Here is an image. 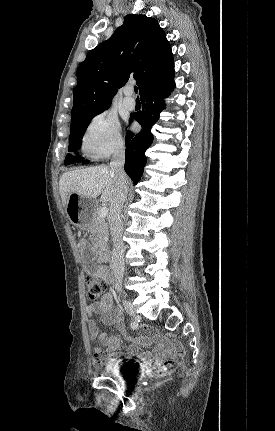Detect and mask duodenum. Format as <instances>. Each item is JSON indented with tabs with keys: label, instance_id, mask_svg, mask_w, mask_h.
Listing matches in <instances>:
<instances>
[{
	"label": "duodenum",
	"instance_id": "duodenum-1",
	"mask_svg": "<svg viewBox=\"0 0 275 431\" xmlns=\"http://www.w3.org/2000/svg\"><path fill=\"white\" fill-rule=\"evenodd\" d=\"M97 258L100 262H107L109 260V254L106 249L99 248L97 251Z\"/></svg>",
	"mask_w": 275,
	"mask_h": 431
}]
</instances>
